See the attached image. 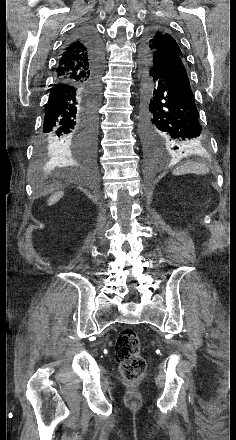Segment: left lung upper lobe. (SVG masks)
Returning <instances> with one entry per match:
<instances>
[{
    "mask_svg": "<svg viewBox=\"0 0 236 440\" xmlns=\"http://www.w3.org/2000/svg\"><path fill=\"white\" fill-rule=\"evenodd\" d=\"M142 60L148 64L171 56L184 58L177 41L165 29H152L141 44Z\"/></svg>",
    "mask_w": 236,
    "mask_h": 440,
    "instance_id": "obj_1",
    "label": "left lung upper lobe"
}]
</instances>
